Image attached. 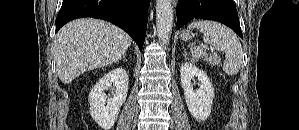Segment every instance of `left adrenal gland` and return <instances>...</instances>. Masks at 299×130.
I'll use <instances>...</instances> for the list:
<instances>
[{
    "label": "left adrenal gland",
    "instance_id": "left-adrenal-gland-1",
    "mask_svg": "<svg viewBox=\"0 0 299 130\" xmlns=\"http://www.w3.org/2000/svg\"><path fill=\"white\" fill-rule=\"evenodd\" d=\"M185 57H186V53L184 52V54H183Z\"/></svg>",
    "mask_w": 299,
    "mask_h": 130
}]
</instances>
